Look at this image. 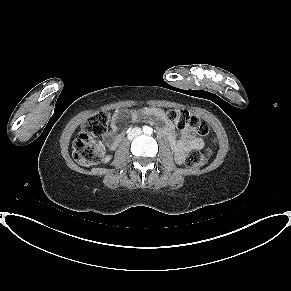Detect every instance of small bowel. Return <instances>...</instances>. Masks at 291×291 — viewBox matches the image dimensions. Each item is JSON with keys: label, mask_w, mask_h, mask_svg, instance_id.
<instances>
[{"label": "small bowel", "mask_w": 291, "mask_h": 291, "mask_svg": "<svg viewBox=\"0 0 291 291\" xmlns=\"http://www.w3.org/2000/svg\"><path fill=\"white\" fill-rule=\"evenodd\" d=\"M124 115H126V112L117 110L111 117V131L105 136V142L111 149H115L123 138L124 132L120 131L119 119ZM129 115L134 121L142 117H154L160 120L163 126L158 129V133L167 139L177 158H181L189 149H200L203 146L202 140L196 137L195 132L192 130L183 129L178 136L175 131V125L168 119L165 111L161 108L146 107L141 110H134Z\"/></svg>", "instance_id": "c3829d8e"}]
</instances>
